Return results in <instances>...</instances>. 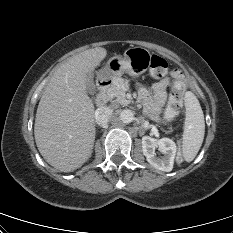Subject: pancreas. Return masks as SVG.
Segmentation results:
<instances>
[{"mask_svg": "<svg viewBox=\"0 0 233 233\" xmlns=\"http://www.w3.org/2000/svg\"><path fill=\"white\" fill-rule=\"evenodd\" d=\"M125 80L122 78H117L113 85L111 86V88H109L108 90V94L111 98H116V102L126 106L130 103L129 100L126 99V92L123 89L124 85H125Z\"/></svg>", "mask_w": 233, "mask_h": 233, "instance_id": "cf45deb5", "label": "pancreas"}]
</instances>
